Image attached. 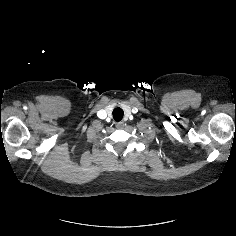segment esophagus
Instances as JSON below:
<instances>
[{
	"instance_id": "1",
	"label": "esophagus",
	"mask_w": 236,
	"mask_h": 236,
	"mask_svg": "<svg viewBox=\"0 0 236 236\" xmlns=\"http://www.w3.org/2000/svg\"><path fill=\"white\" fill-rule=\"evenodd\" d=\"M123 126H124V123H123V122H117V123H116V128H117V129H121V128H123Z\"/></svg>"
}]
</instances>
